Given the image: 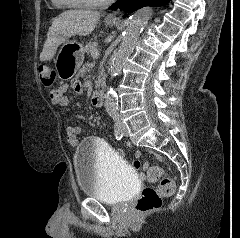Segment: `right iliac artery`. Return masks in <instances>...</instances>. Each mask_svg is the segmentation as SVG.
<instances>
[{"label":"right iliac artery","mask_w":240,"mask_h":238,"mask_svg":"<svg viewBox=\"0 0 240 238\" xmlns=\"http://www.w3.org/2000/svg\"><path fill=\"white\" fill-rule=\"evenodd\" d=\"M114 119V135L117 140H120L123 137V132L121 128V123L118 117L113 118Z\"/></svg>","instance_id":"obj_1"}]
</instances>
